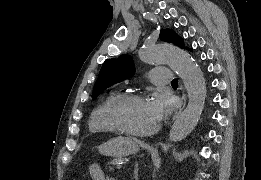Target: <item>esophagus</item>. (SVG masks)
Wrapping results in <instances>:
<instances>
[{"instance_id":"1","label":"esophagus","mask_w":261,"mask_h":180,"mask_svg":"<svg viewBox=\"0 0 261 180\" xmlns=\"http://www.w3.org/2000/svg\"><path fill=\"white\" fill-rule=\"evenodd\" d=\"M185 104H186V96H185L184 93H182L180 107H179L178 110L176 111V113H175L173 119H175V118L179 115V113L184 109Z\"/></svg>"}]
</instances>
